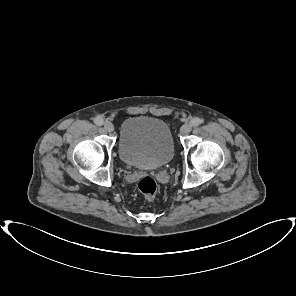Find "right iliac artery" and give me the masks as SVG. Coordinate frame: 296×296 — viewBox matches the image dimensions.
<instances>
[{"mask_svg":"<svg viewBox=\"0 0 296 296\" xmlns=\"http://www.w3.org/2000/svg\"><path fill=\"white\" fill-rule=\"evenodd\" d=\"M94 122L98 126H101L104 123V121H103V119L101 117H96L95 120H94Z\"/></svg>","mask_w":296,"mask_h":296,"instance_id":"82829eb1","label":"right iliac artery"}]
</instances>
